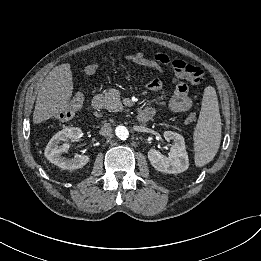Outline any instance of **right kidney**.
<instances>
[{
	"mask_svg": "<svg viewBox=\"0 0 261 261\" xmlns=\"http://www.w3.org/2000/svg\"><path fill=\"white\" fill-rule=\"evenodd\" d=\"M81 134L82 131L78 127H68L56 133L46 146L44 154L47 160L61 169L68 170L82 168L86 165L89 162V156L75 154L71 159L62 157L61 154L67 152L70 145L67 143L59 145L61 141L68 139L74 141L80 138Z\"/></svg>",
	"mask_w": 261,
	"mask_h": 261,
	"instance_id": "1",
	"label": "right kidney"
}]
</instances>
